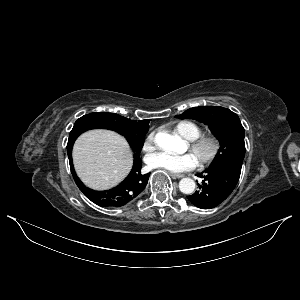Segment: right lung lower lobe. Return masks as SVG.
<instances>
[{"mask_svg":"<svg viewBox=\"0 0 300 300\" xmlns=\"http://www.w3.org/2000/svg\"><path fill=\"white\" fill-rule=\"evenodd\" d=\"M72 146L67 147V151L75 183L84 195L95 204L101 207H121L136 199L144 191L150 173H141L142 162L138 157H134V165L131 172L118 186L107 191H95L86 187L76 176L73 169L71 156Z\"/></svg>","mask_w":300,"mask_h":300,"instance_id":"1","label":"right lung lower lobe"}]
</instances>
